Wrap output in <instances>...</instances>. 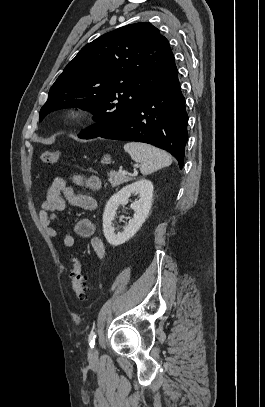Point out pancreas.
<instances>
[{
    "instance_id": "1",
    "label": "pancreas",
    "mask_w": 265,
    "mask_h": 407,
    "mask_svg": "<svg viewBox=\"0 0 265 407\" xmlns=\"http://www.w3.org/2000/svg\"><path fill=\"white\" fill-rule=\"evenodd\" d=\"M108 177H109V178H108V181L110 182V184H111L112 187H117V186H119L120 184H123V183H126V182L132 180L131 177L122 175V174L117 173V172H115V171H110V172L108 173Z\"/></svg>"
}]
</instances>
